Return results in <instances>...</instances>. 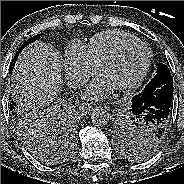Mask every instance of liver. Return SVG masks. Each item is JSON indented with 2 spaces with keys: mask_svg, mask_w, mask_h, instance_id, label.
<instances>
[{
  "mask_svg": "<svg viewBox=\"0 0 184 184\" xmlns=\"http://www.w3.org/2000/svg\"><path fill=\"white\" fill-rule=\"evenodd\" d=\"M62 65L53 46L35 42L20 54L12 73V93L28 106L50 105L62 88Z\"/></svg>",
  "mask_w": 184,
  "mask_h": 184,
  "instance_id": "6515ba94",
  "label": "liver"
}]
</instances>
